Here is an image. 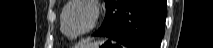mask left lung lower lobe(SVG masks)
I'll return each instance as SVG.
<instances>
[{"label": "left lung lower lobe", "instance_id": "left-lung-lower-lobe-1", "mask_svg": "<svg viewBox=\"0 0 213 48\" xmlns=\"http://www.w3.org/2000/svg\"><path fill=\"white\" fill-rule=\"evenodd\" d=\"M165 17L166 0H110L103 24L93 35L127 48H159Z\"/></svg>", "mask_w": 213, "mask_h": 48}]
</instances>
